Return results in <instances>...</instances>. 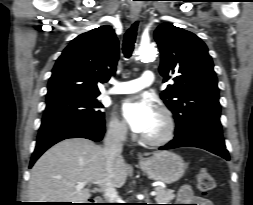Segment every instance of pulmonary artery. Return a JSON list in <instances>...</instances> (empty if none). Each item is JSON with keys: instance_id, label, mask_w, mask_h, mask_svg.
Returning a JSON list of instances; mask_svg holds the SVG:
<instances>
[{"instance_id": "pulmonary-artery-1", "label": "pulmonary artery", "mask_w": 253, "mask_h": 205, "mask_svg": "<svg viewBox=\"0 0 253 205\" xmlns=\"http://www.w3.org/2000/svg\"><path fill=\"white\" fill-rule=\"evenodd\" d=\"M155 81V75L152 71L146 70L138 79L115 82L114 86L107 91L108 94H129L142 90L152 85Z\"/></svg>"}]
</instances>
